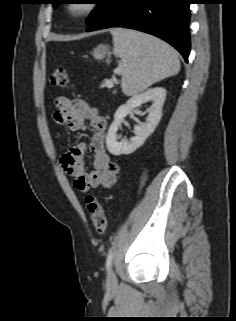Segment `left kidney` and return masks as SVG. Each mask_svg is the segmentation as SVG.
<instances>
[{"mask_svg":"<svg viewBox=\"0 0 236 321\" xmlns=\"http://www.w3.org/2000/svg\"><path fill=\"white\" fill-rule=\"evenodd\" d=\"M166 99V90L162 87L149 89L143 93L131 97L125 104L121 105L115 115L106 137V146L108 151L115 156L130 154L139 148L145 140L151 135L158 125L162 116V107ZM152 101L149 109V115L145 123H139L135 126V136L130 141H118L116 133L124 118L136 107L142 103Z\"/></svg>","mask_w":236,"mask_h":321,"instance_id":"1","label":"left kidney"}]
</instances>
